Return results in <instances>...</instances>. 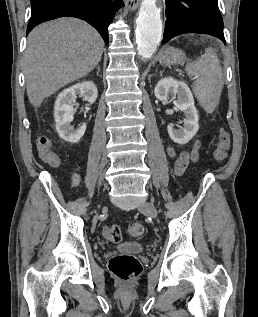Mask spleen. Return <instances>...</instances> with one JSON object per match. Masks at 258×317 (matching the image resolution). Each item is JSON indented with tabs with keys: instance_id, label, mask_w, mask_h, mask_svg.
Here are the masks:
<instances>
[{
	"instance_id": "3e777b00",
	"label": "spleen",
	"mask_w": 258,
	"mask_h": 317,
	"mask_svg": "<svg viewBox=\"0 0 258 317\" xmlns=\"http://www.w3.org/2000/svg\"><path fill=\"white\" fill-rule=\"evenodd\" d=\"M188 76H195L193 92L206 112H213L219 104L224 80L218 56L213 48H206L197 60L186 66Z\"/></svg>"
}]
</instances>
